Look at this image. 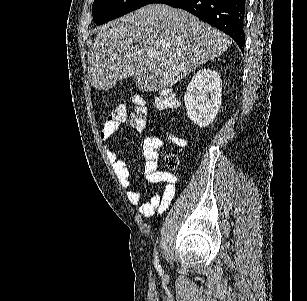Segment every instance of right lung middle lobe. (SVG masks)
Segmentation results:
<instances>
[{"instance_id":"right-lung-middle-lobe-1","label":"right lung middle lobe","mask_w":307,"mask_h":301,"mask_svg":"<svg viewBox=\"0 0 307 301\" xmlns=\"http://www.w3.org/2000/svg\"><path fill=\"white\" fill-rule=\"evenodd\" d=\"M150 0H95L92 5L93 21L100 25L131 11H134Z\"/></svg>"}]
</instances>
